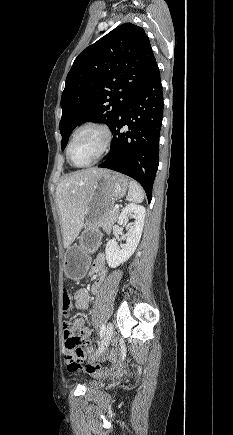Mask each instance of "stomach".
<instances>
[{
	"mask_svg": "<svg viewBox=\"0 0 233 435\" xmlns=\"http://www.w3.org/2000/svg\"><path fill=\"white\" fill-rule=\"evenodd\" d=\"M128 187V179L117 172L107 170L97 177L85 209V223L78 237L79 244L69 247L64 255V272L70 279L80 280L85 277L91 253L96 249L101 237L99 228L109 209L126 194Z\"/></svg>",
	"mask_w": 233,
	"mask_h": 435,
	"instance_id": "0dacf381",
	"label": "stomach"
}]
</instances>
